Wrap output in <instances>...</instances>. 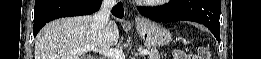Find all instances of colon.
<instances>
[{"label":"colon","instance_id":"5ec220e1","mask_svg":"<svg viewBox=\"0 0 261 59\" xmlns=\"http://www.w3.org/2000/svg\"><path fill=\"white\" fill-rule=\"evenodd\" d=\"M175 59H190L191 57L185 55L182 51H176L174 54ZM202 58H208V55L205 50L202 51Z\"/></svg>","mask_w":261,"mask_h":59}]
</instances>
